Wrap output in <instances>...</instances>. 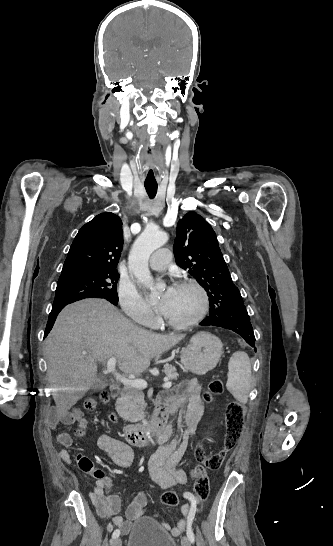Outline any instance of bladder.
<instances>
[{
    "label": "bladder",
    "mask_w": 333,
    "mask_h": 546,
    "mask_svg": "<svg viewBox=\"0 0 333 546\" xmlns=\"http://www.w3.org/2000/svg\"><path fill=\"white\" fill-rule=\"evenodd\" d=\"M127 546H178L175 539L154 519L143 517L130 527Z\"/></svg>",
    "instance_id": "obj_1"
}]
</instances>
